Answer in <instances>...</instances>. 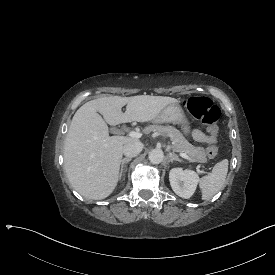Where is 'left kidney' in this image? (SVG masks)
<instances>
[{
	"label": "left kidney",
	"mask_w": 275,
	"mask_h": 275,
	"mask_svg": "<svg viewBox=\"0 0 275 275\" xmlns=\"http://www.w3.org/2000/svg\"><path fill=\"white\" fill-rule=\"evenodd\" d=\"M199 173L182 167L172 168L169 172V181L173 191L183 198H190L199 183Z\"/></svg>",
	"instance_id": "1"
}]
</instances>
